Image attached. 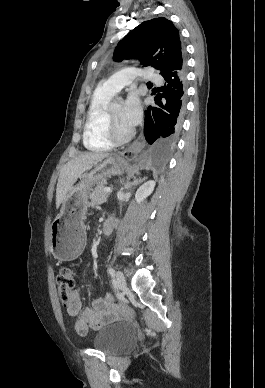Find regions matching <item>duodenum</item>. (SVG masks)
<instances>
[{"instance_id":"duodenum-1","label":"duodenum","mask_w":265,"mask_h":388,"mask_svg":"<svg viewBox=\"0 0 265 388\" xmlns=\"http://www.w3.org/2000/svg\"><path fill=\"white\" fill-rule=\"evenodd\" d=\"M115 226H116L115 218H113V217L106 218L104 223H103V226H102L103 233L106 235L111 234L113 232Z\"/></svg>"}]
</instances>
